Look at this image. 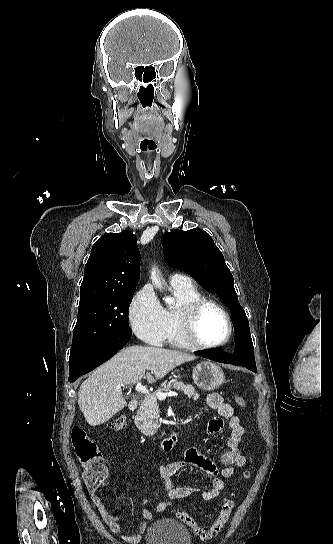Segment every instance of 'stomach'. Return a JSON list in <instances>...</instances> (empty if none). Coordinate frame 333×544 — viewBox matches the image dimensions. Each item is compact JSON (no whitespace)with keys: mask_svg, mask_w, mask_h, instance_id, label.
Returning <instances> with one entry per match:
<instances>
[{"mask_svg":"<svg viewBox=\"0 0 333 544\" xmlns=\"http://www.w3.org/2000/svg\"><path fill=\"white\" fill-rule=\"evenodd\" d=\"M194 383L202 390L213 391L225 382L223 370L215 363L201 362L192 373Z\"/></svg>","mask_w":333,"mask_h":544,"instance_id":"stomach-1","label":"stomach"}]
</instances>
